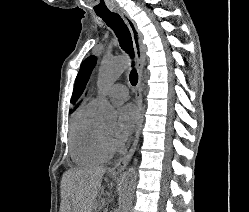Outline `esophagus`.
I'll use <instances>...</instances> for the list:
<instances>
[{"mask_svg":"<svg viewBox=\"0 0 249 212\" xmlns=\"http://www.w3.org/2000/svg\"><path fill=\"white\" fill-rule=\"evenodd\" d=\"M114 12H117L121 18L124 20L125 24L128 25L130 33L132 35V42L134 46V50L137 57V65H138V73H139V80L136 87L135 92V102L138 107V122L136 133L134 137V141L130 150L121 157V159L113 166L108 169L112 175L115 174H122L126 169L127 165L129 164L131 158L134 155L136 147L138 145L141 129L143 126V97H142V87H143V67L146 60V46L143 43V37L140 31L137 28L136 23L134 20L128 15V13L122 7H116Z\"/></svg>","mask_w":249,"mask_h":212,"instance_id":"1","label":"esophagus"}]
</instances>
